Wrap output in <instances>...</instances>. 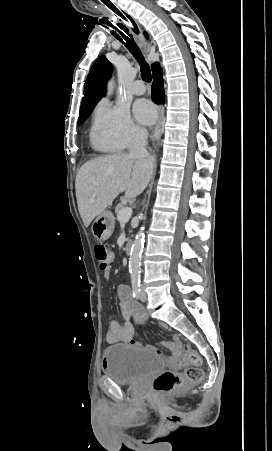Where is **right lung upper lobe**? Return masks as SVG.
<instances>
[{
	"label": "right lung upper lobe",
	"mask_w": 272,
	"mask_h": 451,
	"mask_svg": "<svg viewBox=\"0 0 272 451\" xmlns=\"http://www.w3.org/2000/svg\"><path fill=\"white\" fill-rule=\"evenodd\" d=\"M145 36L147 37L146 33ZM155 64L152 65V68ZM111 72L112 64L104 55L100 56L93 64L86 79L84 97L80 109L94 108L96 103L104 97L106 93V81Z\"/></svg>",
	"instance_id": "obj_1"
}]
</instances>
